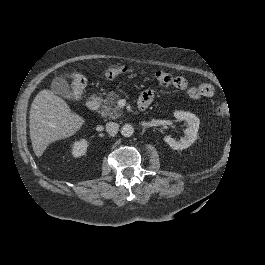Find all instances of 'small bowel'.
<instances>
[{
    "label": "small bowel",
    "instance_id": "c3829d8e",
    "mask_svg": "<svg viewBox=\"0 0 265 265\" xmlns=\"http://www.w3.org/2000/svg\"><path fill=\"white\" fill-rule=\"evenodd\" d=\"M173 85L177 89L184 91L192 99L207 98L214 95V87L211 84L203 83L197 86H189L188 81L183 76L174 77ZM153 99L154 92L152 90H145L139 97V104L147 107Z\"/></svg>",
    "mask_w": 265,
    "mask_h": 265
}]
</instances>
